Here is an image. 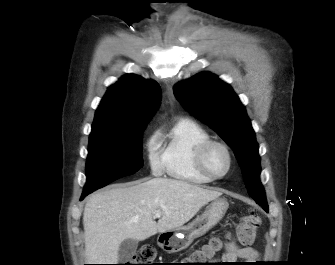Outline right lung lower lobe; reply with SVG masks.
<instances>
[{
    "mask_svg": "<svg viewBox=\"0 0 335 265\" xmlns=\"http://www.w3.org/2000/svg\"><path fill=\"white\" fill-rule=\"evenodd\" d=\"M88 195V193H82V196H81V199L80 200H82L85 196H87Z\"/></svg>",
    "mask_w": 335,
    "mask_h": 265,
    "instance_id": "98d812e1",
    "label": "right lung lower lobe"
}]
</instances>
